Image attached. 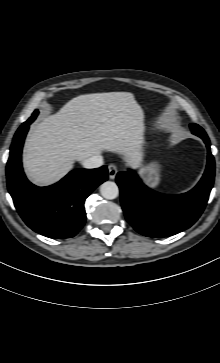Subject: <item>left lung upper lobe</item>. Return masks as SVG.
I'll return each mask as SVG.
<instances>
[{
  "label": "left lung upper lobe",
  "instance_id": "1",
  "mask_svg": "<svg viewBox=\"0 0 220 363\" xmlns=\"http://www.w3.org/2000/svg\"><path fill=\"white\" fill-rule=\"evenodd\" d=\"M190 128H191L193 134H195V135L200 136V134H203V135L206 134L205 131L197 124H190Z\"/></svg>",
  "mask_w": 220,
  "mask_h": 363
}]
</instances>
